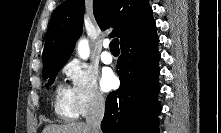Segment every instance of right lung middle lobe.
<instances>
[{
  "label": "right lung middle lobe",
  "mask_w": 221,
  "mask_h": 133,
  "mask_svg": "<svg viewBox=\"0 0 221 133\" xmlns=\"http://www.w3.org/2000/svg\"><path fill=\"white\" fill-rule=\"evenodd\" d=\"M65 64V62L62 63H54L49 64L47 66H44V69L42 71V75L45 79L49 78V83L52 84L57 72L60 70V68ZM46 87L48 88V84H46Z\"/></svg>",
  "instance_id": "1"
}]
</instances>
